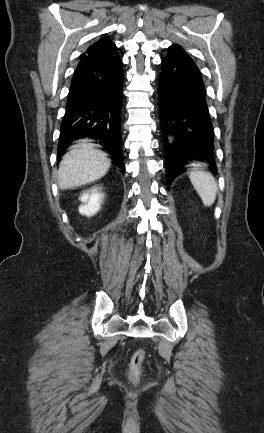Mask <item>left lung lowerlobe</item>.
I'll return each mask as SVG.
<instances>
[{
  "label": "left lung lower lobe",
  "mask_w": 264,
  "mask_h": 433,
  "mask_svg": "<svg viewBox=\"0 0 264 433\" xmlns=\"http://www.w3.org/2000/svg\"><path fill=\"white\" fill-rule=\"evenodd\" d=\"M158 96L167 185L194 160L206 161L215 173L214 131L204 83L184 50H169L162 60Z\"/></svg>",
  "instance_id": "1"
}]
</instances>
